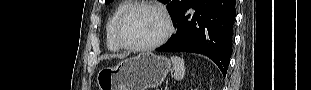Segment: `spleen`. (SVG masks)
Wrapping results in <instances>:
<instances>
[{
  "label": "spleen",
  "mask_w": 311,
  "mask_h": 90,
  "mask_svg": "<svg viewBox=\"0 0 311 90\" xmlns=\"http://www.w3.org/2000/svg\"><path fill=\"white\" fill-rule=\"evenodd\" d=\"M171 62L173 64L174 76L176 80L181 81L185 76L184 59L177 56H172Z\"/></svg>",
  "instance_id": "spleen-1"
}]
</instances>
